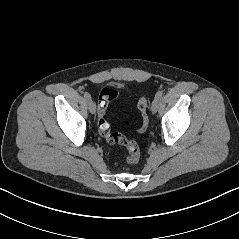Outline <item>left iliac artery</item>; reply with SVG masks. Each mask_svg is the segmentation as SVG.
I'll return each mask as SVG.
<instances>
[{"instance_id": "left-iliac-artery-1", "label": "left iliac artery", "mask_w": 239, "mask_h": 239, "mask_svg": "<svg viewBox=\"0 0 239 239\" xmlns=\"http://www.w3.org/2000/svg\"><path fill=\"white\" fill-rule=\"evenodd\" d=\"M162 95H163V91L160 90V91H158V92L156 93L155 97L158 98V99H160V98L162 97Z\"/></svg>"}]
</instances>
